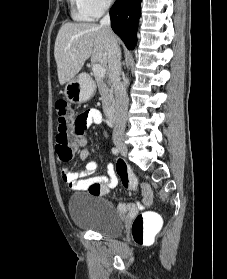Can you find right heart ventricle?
<instances>
[{"mask_svg":"<svg viewBox=\"0 0 227 279\" xmlns=\"http://www.w3.org/2000/svg\"><path fill=\"white\" fill-rule=\"evenodd\" d=\"M73 8H72V17L78 21H89L92 16L85 8L83 0H70Z\"/></svg>","mask_w":227,"mask_h":279,"instance_id":"right-heart-ventricle-1","label":"right heart ventricle"}]
</instances>
